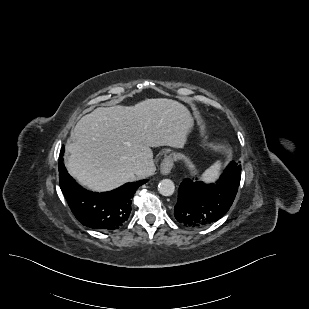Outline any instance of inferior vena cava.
I'll list each match as a JSON object with an SVG mask.
<instances>
[{"label":"inferior vena cava","mask_w":309,"mask_h":309,"mask_svg":"<svg viewBox=\"0 0 309 309\" xmlns=\"http://www.w3.org/2000/svg\"><path fill=\"white\" fill-rule=\"evenodd\" d=\"M134 171L136 174H140L142 172V164L138 161H134Z\"/></svg>","instance_id":"602c4592"}]
</instances>
